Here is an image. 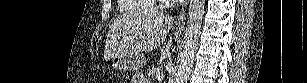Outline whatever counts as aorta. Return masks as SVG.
I'll use <instances>...</instances> for the list:
<instances>
[{
	"label": "aorta",
	"mask_w": 307,
	"mask_h": 83,
	"mask_svg": "<svg viewBox=\"0 0 307 83\" xmlns=\"http://www.w3.org/2000/svg\"><path fill=\"white\" fill-rule=\"evenodd\" d=\"M205 0H191L185 30V45L175 77V83H187L197 49Z\"/></svg>",
	"instance_id": "aorta-1"
}]
</instances>
